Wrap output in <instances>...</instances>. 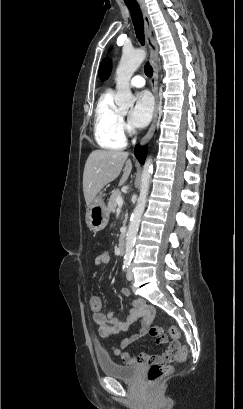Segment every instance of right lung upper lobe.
Segmentation results:
<instances>
[{
  "label": "right lung upper lobe",
  "instance_id": "1",
  "mask_svg": "<svg viewBox=\"0 0 243 409\" xmlns=\"http://www.w3.org/2000/svg\"><path fill=\"white\" fill-rule=\"evenodd\" d=\"M111 72V60L109 58L104 59L99 68V77L102 80H106Z\"/></svg>",
  "mask_w": 243,
  "mask_h": 409
}]
</instances>
